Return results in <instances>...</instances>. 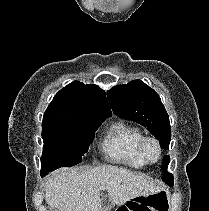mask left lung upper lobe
<instances>
[{"mask_svg": "<svg viewBox=\"0 0 209 211\" xmlns=\"http://www.w3.org/2000/svg\"><path fill=\"white\" fill-rule=\"evenodd\" d=\"M110 105L115 114L145 126L160 142L163 149H169L171 127L169 116L159 95L141 80L117 85L107 91ZM169 156H164L161 169L163 180L173 178L167 172Z\"/></svg>", "mask_w": 209, "mask_h": 211, "instance_id": "obj_1", "label": "left lung upper lobe"}]
</instances>
